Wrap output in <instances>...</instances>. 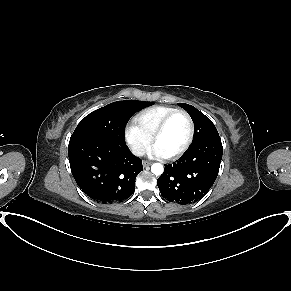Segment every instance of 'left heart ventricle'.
<instances>
[{"label": "left heart ventricle", "mask_w": 291, "mask_h": 291, "mask_svg": "<svg viewBox=\"0 0 291 291\" xmlns=\"http://www.w3.org/2000/svg\"><path fill=\"white\" fill-rule=\"evenodd\" d=\"M189 134L188 121L183 115L174 116L167 125L164 133L158 138L157 145L166 155H171L180 150Z\"/></svg>", "instance_id": "left-heart-ventricle-1"}]
</instances>
